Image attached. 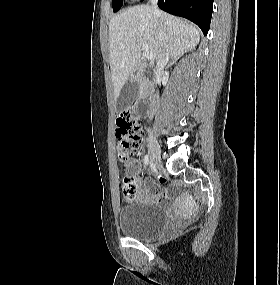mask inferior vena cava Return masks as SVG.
I'll list each match as a JSON object with an SVG mask.
<instances>
[{
  "instance_id": "1",
  "label": "inferior vena cava",
  "mask_w": 280,
  "mask_h": 285,
  "mask_svg": "<svg viewBox=\"0 0 280 285\" xmlns=\"http://www.w3.org/2000/svg\"><path fill=\"white\" fill-rule=\"evenodd\" d=\"M151 6L153 7V9L159 13L158 10V6H157V0H150ZM170 58V53L167 50H162L161 53L158 56L157 59V64H156V69H157V73L161 74L164 70V67L166 66V64L168 63ZM158 103V94H155L152 100V109H151V118L153 117V115L155 114L156 111V106Z\"/></svg>"
}]
</instances>
